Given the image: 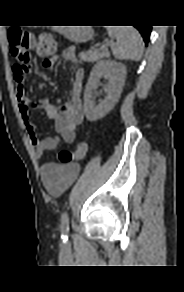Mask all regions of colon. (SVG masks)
<instances>
[{
  "label": "colon",
  "mask_w": 184,
  "mask_h": 292,
  "mask_svg": "<svg viewBox=\"0 0 184 292\" xmlns=\"http://www.w3.org/2000/svg\"><path fill=\"white\" fill-rule=\"evenodd\" d=\"M11 54L17 61V66L21 71L27 70L29 61L28 49L33 43L32 35L20 28H10L8 32ZM56 43L51 35L43 34L36 44V52L39 56L48 57L55 53ZM87 152L86 143H80L73 151L63 150L59 153V160L62 164H70L84 158Z\"/></svg>",
  "instance_id": "obj_1"
}]
</instances>
